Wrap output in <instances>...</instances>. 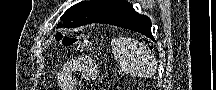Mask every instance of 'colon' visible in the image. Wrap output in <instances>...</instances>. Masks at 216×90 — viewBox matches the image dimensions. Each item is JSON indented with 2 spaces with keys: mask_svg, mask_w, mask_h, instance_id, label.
Wrapping results in <instances>:
<instances>
[{
  "mask_svg": "<svg viewBox=\"0 0 216 90\" xmlns=\"http://www.w3.org/2000/svg\"><path fill=\"white\" fill-rule=\"evenodd\" d=\"M57 41L66 47H70L75 45H81L83 40L81 37L78 36L58 34Z\"/></svg>",
  "mask_w": 216,
  "mask_h": 90,
  "instance_id": "colon-1",
  "label": "colon"
}]
</instances>
